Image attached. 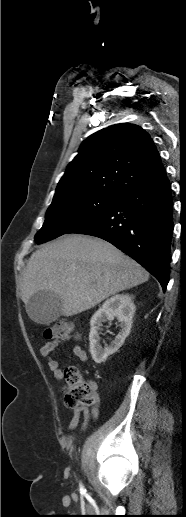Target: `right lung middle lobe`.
Segmentation results:
<instances>
[{
    "label": "right lung middle lobe",
    "mask_w": 186,
    "mask_h": 517,
    "mask_svg": "<svg viewBox=\"0 0 186 517\" xmlns=\"http://www.w3.org/2000/svg\"><path fill=\"white\" fill-rule=\"evenodd\" d=\"M120 197L101 194H74L54 198L46 213L44 225L35 236L37 244L69 233L115 204Z\"/></svg>",
    "instance_id": "1"
}]
</instances>
